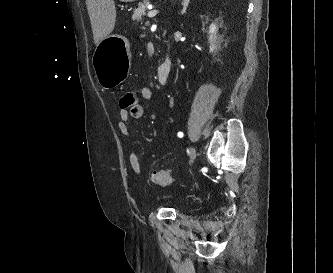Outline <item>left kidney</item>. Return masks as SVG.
<instances>
[{"label": "left kidney", "mask_w": 333, "mask_h": 273, "mask_svg": "<svg viewBox=\"0 0 333 273\" xmlns=\"http://www.w3.org/2000/svg\"><path fill=\"white\" fill-rule=\"evenodd\" d=\"M217 26L216 24L212 23L209 26V42H210V52H213L216 49V42H217Z\"/></svg>", "instance_id": "obj_1"}]
</instances>
